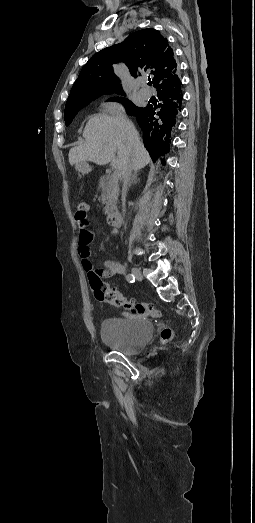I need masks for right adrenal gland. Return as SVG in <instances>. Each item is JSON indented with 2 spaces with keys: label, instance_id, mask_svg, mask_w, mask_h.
Returning <instances> with one entry per match:
<instances>
[{
  "label": "right adrenal gland",
  "instance_id": "2a0ac1e0",
  "mask_svg": "<svg viewBox=\"0 0 255 523\" xmlns=\"http://www.w3.org/2000/svg\"><path fill=\"white\" fill-rule=\"evenodd\" d=\"M137 176H138L137 172H134V174L128 184V190H129V188H131L132 184H137V182H139Z\"/></svg>",
  "mask_w": 255,
  "mask_h": 523
}]
</instances>
